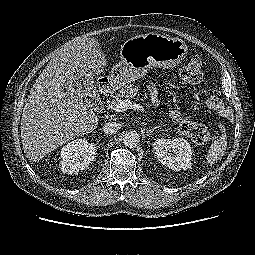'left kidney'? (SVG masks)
<instances>
[{
	"instance_id": "1",
	"label": "left kidney",
	"mask_w": 255,
	"mask_h": 255,
	"mask_svg": "<svg viewBox=\"0 0 255 255\" xmlns=\"http://www.w3.org/2000/svg\"><path fill=\"white\" fill-rule=\"evenodd\" d=\"M153 150L159 162L173 171L191 167L192 150L183 138L158 139L153 144Z\"/></svg>"
}]
</instances>
